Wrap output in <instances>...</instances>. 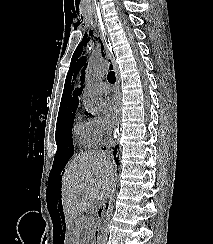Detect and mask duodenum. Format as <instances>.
I'll list each match as a JSON object with an SVG mask.
<instances>
[{
    "label": "duodenum",
    "mask_w": 213,
    "mask_h": 244,
    "mask_svg": "<svg viewBox=\"0 0 213 244\" xmlns=\"http://www.w3.org/2000/svg\"><path fill=\"white\" fill-rule=\"evenodd\" d=\"M100 219L102 217L100 216ZM92 244H101V230L98 229L93 237V243Z\"/></svg>",
    "instance_id": "1"
}]
</instances>
